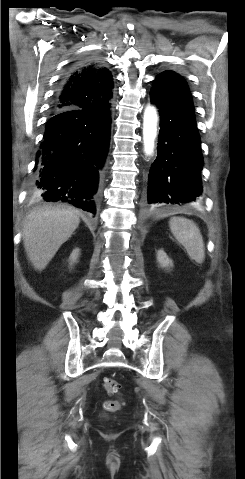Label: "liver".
Instances as JSON below:
<instances>
[{
  "mask_svg": "<svg viewBox=\"0 0 245 479\" xmlns=\"http://www.w3.org/2000/svg\"><path fill=\"white\" fill-rule=\"evenodd\" d=\"M79 223L77 212L60 207L39 208L26 217L22 230L23 243L27 257L36 270L46 268Z\"/></svg>",
  "mask_w": 245,
  "mask_h": 479,
  "instance_id": "obj_1",
  "label": "liver"
}]
</instances>
